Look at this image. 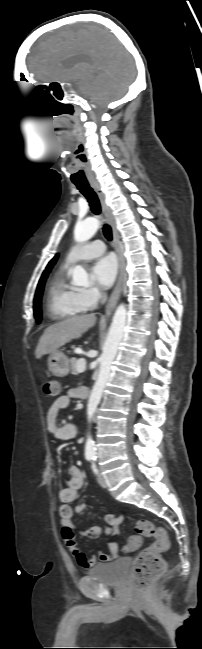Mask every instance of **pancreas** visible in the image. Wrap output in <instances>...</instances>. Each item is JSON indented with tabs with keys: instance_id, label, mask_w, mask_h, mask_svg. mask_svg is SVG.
I'll use <instances>...</instances> for the list:
<instances>
[{
	"instance_id": "obj_1",
	"label": "pancreas",
	"mask_w": 202,
	"mask_h": 649,
	"mask_svg": "<svg viewBox=\"0 0 202 649\" xmlns=\"http://www.w3.org/2000/svg\"><path fill=\"white\" fill-rule=\"evenodd\" d=\"M78 361H79V360L76 359V358H73V359H71V361H70V363H71V365H70V366H71V368H70V369H71V374H73V375H78V374L80 373V372L78 371V369H77V362H78Z\"/></svg>"
}]
</instances>
